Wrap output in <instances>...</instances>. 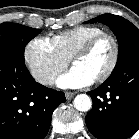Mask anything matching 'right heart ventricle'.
<instances>
[{"label": "right heart ventricle", "mask_w": 139, "mask_h": 139, "mask_svg": "<svg viewBox=\"0 0 139 139\" xmlns=\"http://www.w3.org/2000/svg\"><path fill=\"white\" fill-rule=\"evenodd\" d=\"M101 32L103 30L97 26L80 25L54 35L50 41L69 60L83 43Z\"/></svg>", "instance_id": "1"}]
</instances>
